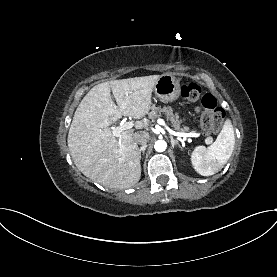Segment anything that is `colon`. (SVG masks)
Segmentation results:
<instances>
[{"label":"colon","instance_id":"1","mask_svg":"<svg viewBox=\"0 0 277 277\" xmlns=\"http://www.w3.org/2000/svg\"><path fill=\"white\" fill-rule=\"evenodd\" d=\"M181 95L189 102H200L203 108L201 115L202 133L205 136L216 134L222 126L225 113L217 105L215 97L211 94H203L201 87L194 82L183 85Z\"/></svg>","mask_w":277,"mask_h":277}]
</instances>
